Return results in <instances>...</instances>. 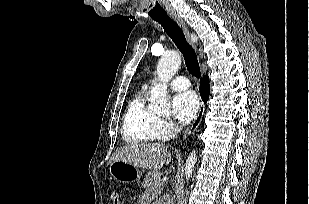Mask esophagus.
Returning a JSON list of instances; mask_svg holds the SVG:
<instances>
[{
	"instance_id": "34e87169",
	"label": "esophagus",
	"mask_w": 309,
	"mask_h": 204,
	"mask_svg": "<svg viewBox=\"0 0 309 204\" xmlns=\"http://www.w3.org/2000/svg\"><path fill=\"white\" fill-rule=\"evenodd\" d=\"M170 16L184 30L188 40L191 42V44L196 49L197 37L193 38L191 36L190 31L188 30L186 24L184 23V21L180 18V16L178 14L172 12V13H170ZM203 114H204V103L201 102L199 111H198L194 121L192 122L190 127L184 133V138L191 135L197 129V127L199 126V124L202 120Z\"/></svg>"
}]
</instances>
